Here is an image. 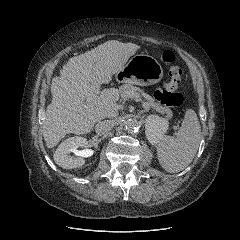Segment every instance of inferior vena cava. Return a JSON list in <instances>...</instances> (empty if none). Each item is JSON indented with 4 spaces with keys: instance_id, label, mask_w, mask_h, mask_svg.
I'll use <instances>...</instances> for the list:
<instances>
[{
    "instance_id": "1",
    "label": "inferior vena cava",
    "mask_w": 240,
    "mask_h": 240,
    "mask_svg": "<svg viewBox=\"0 0 240 240\" xmlns=\"http://www.w3.org/2000/svg\"><path fill=\"white\" fill-rule=\"evenodd\" d=\"M113 127H114L113 120L99 121L95 125V131L97 134L103 135V134H106L107 132H109L110 130H112Z\"/></svg>"
}]
</instances>
